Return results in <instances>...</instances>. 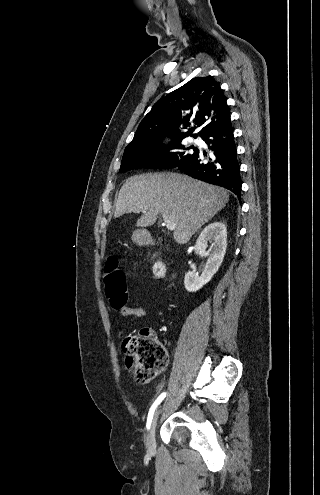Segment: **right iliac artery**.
I'll return each mask as SVG.
<instances>
[{"mask_svg": "<svg viewBox=\"0 0 320 495\" xmlns=\"http://www.w3.org/2000/svg\"><path fill=\"white\" fill-rule=\"evenodd\" d=\"M165 397H166V392H163L162 394L159 395V397L152 404V406H151V408L149 410V413H148L147 424H146L147 429H150V426H151V423H152V419H153V415H154V411H155L156 407L162 402V400Z\"/></svg>", "mask_w": 320, "mask_h": 495, "instance_id": "1", "label": "right iliac artery"}]
</instances>
